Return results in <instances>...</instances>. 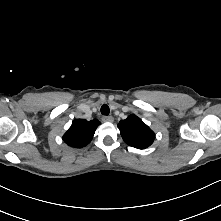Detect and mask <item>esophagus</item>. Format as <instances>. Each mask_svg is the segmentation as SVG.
<instances>
[{
    "label": "esophagus",
    "instance_id": "1",
    "mask_svg": "<svg viewBox=\"0 0 221 221\" xmlns=\"http://www.w3.org/2000/svg\"><path fill=\"white\" fill-rule=\"evenodd\" d=\"M102 120L104 122H113V117L112 116H103Z\"/></svg>",
    "mask_w": 221,
    "mask_h": 221
}]
</instances>
